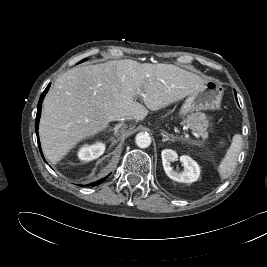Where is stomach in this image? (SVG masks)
Listing matches in <instances>:
<instances>
[{
  "mask_svg": "<svg viewBox=\"0 0 267 267\" xmlns=\"http://www.w3.org/2000/svg\"><path fill=\"white\" fill-rule=\"evenodd\" d=\"M223 89L216 81H207L204 87L191 93L185 100L179 115L186 116L188 113L198 110H216L221 106Z\"/></svg>",
  "mask_w": 267,
  "mask_h": 267,
  "instance_id": "obj_1",
  "label": "stomach"
}]
</instances>
